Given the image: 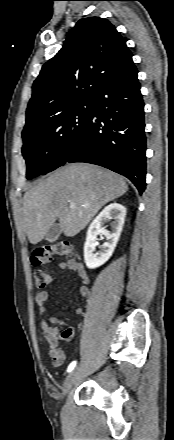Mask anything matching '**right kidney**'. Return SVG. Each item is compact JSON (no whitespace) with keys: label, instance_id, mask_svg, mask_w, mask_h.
<instances>
[{"label":"right kidney","instance_id":"obj_1","mask_svg":"<svg viewBox=\"0 0 174 440\" xmlns=\"http://www.w3.org/2000/svg\"><path fill=\"white\" fill-rule=\"evenodd\" d=\"M125 216L126 208L119 203H112L106 206L90 224L84 244V260L89 269L103 265L112 256L123 229ZM111 219L114 220L111 225L112 232L102 227L104 222ZM99 233L103 234L108 242L104 245L102 252L94 254L93 251Z\"/></svg>","mask_w":174,"mask_h":440}]
</instances>
